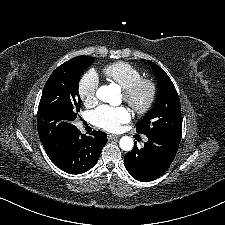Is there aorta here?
Masks as SVG:
<instances>
[{
    "instance_id": "1",
    "label": "aorta",
    "mask_w": 225,
    "mask_h": 225,
    "mask_svg": "<svg viewBox=\"0 0 225 225\" xmlns=\"http://www.w3.org/2000/svg\"><path fill=\"white\" fill-rule=\"evenodd\" d=\"M96 95L99 100L107 102L111 105L119 103V90L116 85H104L98 88ZM133 139L129 136H124L119 141V146L123 151H131L133 149Z\"/></svg>"
}]
</instances>
